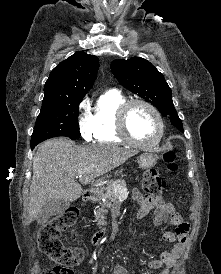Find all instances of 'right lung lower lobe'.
Instances as JSON below:
<instances>
[{"mask_svg": "<svg viewBox=\"0 0 221 274\" xmlns=\"http://www.w3.org/2000/svg\"><path fill=\"white\" fill-rule=\"evenodd\" d=\"M35 146H31V148L33 149Z\"/></svg>", "mask_w": 221, "mask_h": 274, "instance_id": "98d812e1", "label": "right lung lower lobe"}]
</instances>
